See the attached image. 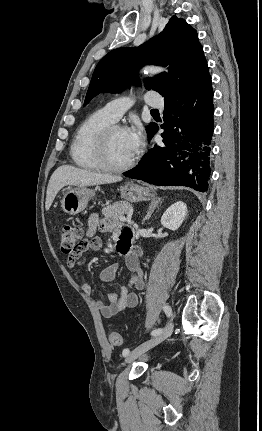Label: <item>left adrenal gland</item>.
Returning a JSON list of instances; mask_svg holds the SVG:
<instances>
[{
  "mask_svg": "<svg viewBox=\"0 0 262 431\" xmlns=\"http://www.w3.org/2000/svg\"><path fill=\"white\" fill-rule=\"evenodd\" d=\"M161 200H162L161 198H158L157 200H153L149 204V208H148L147 214L144 217L142 223H144L146 220H148L151 217L152 213L154 212V210L156 209V207L158 206V204L161 202Z\"/></svg>",
  "mask_w": 262,
  "mask_h": 431,
  "instance_id": "a2214340",
  "label": "left adrenal gland"
}]
</instances>
